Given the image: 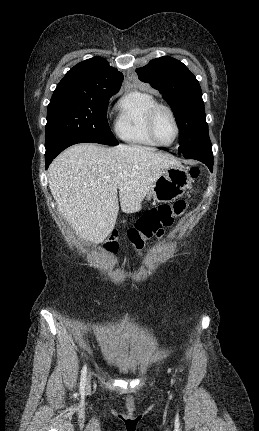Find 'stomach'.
Returning a JSON list of instances; mask_svg holds the SVG:
<instances>
[{"instance_id":"0dacf381","label":"stomach","mask_w":259,"mask_h":431,"mask_svg":"<svg viewBox=\"0 0 259 431\" xmlns=\"http://www.w3.org/2000/svg\"><path fill=\"white\" fill-rule=\"evenodd\" d=\"M191 184L192 178L188 170L181 164L173 165L153 184L147 194V200L153 198L158 202H172L181 197Z\"/></svg>"}]
</instances>
